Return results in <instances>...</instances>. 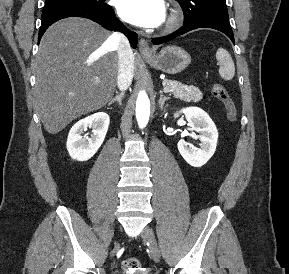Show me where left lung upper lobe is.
<instances>
[{
  "label": "left lung upper lobe",
  "instance_id": "obj_1",
  "mask_svg": "<svg viewBox=\"0 0 289 274\" xmlns=\"http://www.w3.org/2000/svg\"><path fill=\"white\" fill-rule=\"evenodd\" d=\"M184 13V24L194 20L208 17L228 18L225 0H176Z\"/></svg>",
  "mask_w": 289,
  "mask_h": 274
}]
</instances>
